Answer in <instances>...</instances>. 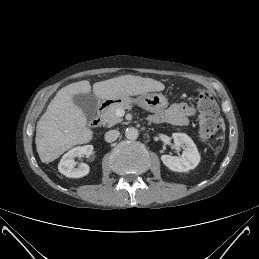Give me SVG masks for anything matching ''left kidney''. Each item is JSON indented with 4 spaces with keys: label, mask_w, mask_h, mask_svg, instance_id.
<instances>
[{
    "label": "left kidney",
    "mask_w": 259,
    "mask_h": 259,
    "mask_svg": "<svg viewBox=\"0 0 259 259\" xmlns=\"http://www.w3.org/2000/svg\"><path fill=\"white\" fill-rule=\"evenodd\" d=\"M174 143L182 146L184 151L181 157L162 155L163 164L174 172H186L194 169L200 162V155L193 140L185 133H173Z\"/></svg>",
    "instance_id": "obj_1"
}]
</instances>
